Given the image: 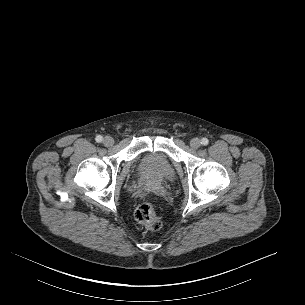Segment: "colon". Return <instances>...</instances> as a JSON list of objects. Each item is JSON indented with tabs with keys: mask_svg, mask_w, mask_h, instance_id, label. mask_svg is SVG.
I'll return each mask as SVG.
<instances>
[{
	"mask_svg": "<svg viewBox=\"0 0 305 305\" xmlns=\"http://www.w3.org/2000/svg\"><path fill=\"white\" fill-rule=\"evenodd\" d=\"M134 216L138 223L152 231L159 230L162 226V220L151 202L141 203L136 208Z\"/></svg>",
	"mask_w": 305,
	"mask_h": 305,
	"instance_id": "obj_1",
	"label": "colon"
}]
</instances>
